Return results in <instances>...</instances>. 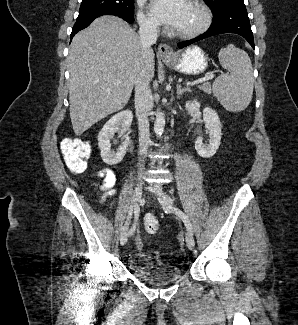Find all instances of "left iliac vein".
Returning a JSON list of instances; mask_svg holds the SVG:
<instances>
[{
  "label": "left iliac vein",
  "mask_w": 298,
  "mask_h": 325,
  "mask_svg": "<svg viewBox=\"0 0 298 325\" xmlns=\"http://www.w3.org/2000/svg\"><path fill=\"white\" fill-rule=\"evenodd\" d=\"M149 190L158 196V200L163 208H174L173 200L169 195H167L163 189L158 185H152ZM186 245L190 250L194 249L195 241L192 232L187 228L185 233Z\"/></svg>",
  "instance_id": "obj_1"
}]
</instances>
